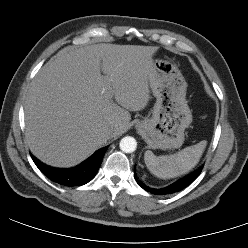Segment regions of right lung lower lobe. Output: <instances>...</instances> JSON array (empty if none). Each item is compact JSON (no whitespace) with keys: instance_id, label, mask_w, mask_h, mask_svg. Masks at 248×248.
<instances>
[{"instance_id":"obj_1","label":"right lung lower lobe","mask_w":248,"mask_h":248,"mask_svg":"<svg viewBox=\"0 0 248 248\" xmlns=\"http://www.w3.org/2000/svg\"><path fill=\"white\" fill-rule=\"evenodd\" d=\"M106 150L107 147L99 149L80 165L68 169L53 168L40 162L33 155L31 157L39 170L53 182L64 186H81L95 177Z\"/></svg>"}]
</instances>
